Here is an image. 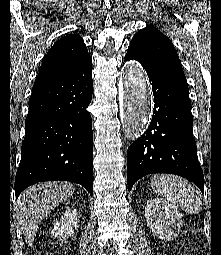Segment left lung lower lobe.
<instances>
[{
	"mask_svg": "<svg viewBox=\"0 0 221 255\" xmlns=\"http://www.w3.org/2000/svg\"><path fill=\"white\" fill-rule=\"evenodd\" d=\"M139 61L154 95V111L146 132L127 151L128 189L151 173L182 176L204 190V176L196 155L188 87L147 65L132 52L125 60Z\"/></svg>",
	"mask_w": 221,
	"mask_h": 255,
	"instance_id": "1",
	"label": "left lung lower lobe"
}]
</instances>
